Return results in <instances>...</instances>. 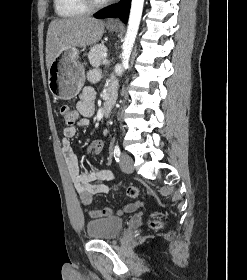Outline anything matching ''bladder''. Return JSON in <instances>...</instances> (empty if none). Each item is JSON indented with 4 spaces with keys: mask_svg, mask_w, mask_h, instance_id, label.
<instances>
[{
    "mask_svg": "<svg viewBox=\"0 0 247 280\" xmlns=\"http://www.w3.org/2000/svg\"><path fill=\"white\" fill-rule=\"evenodd\" d=\"M123 228V219L106 217L89 221L86 225V232L90 239L110 240L117 238Z\"/></svg>",
    "mask_w": 247,
    "mask_h": 280,
    "instance_id": "1",
    "label": "bladder"
}]
</instances>
